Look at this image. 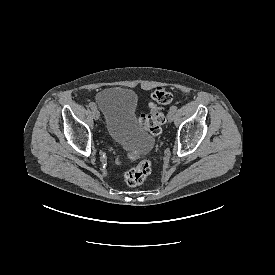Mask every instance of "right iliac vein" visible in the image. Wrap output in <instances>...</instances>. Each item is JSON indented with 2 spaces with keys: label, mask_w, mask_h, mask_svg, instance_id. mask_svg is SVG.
<instances>
[{
  "label": "right iliac vein",
  "mask_w": 275,
  "mask_h": 275,
  "mask_svg": "<svg viewBox=\"0 0 275 275\" xmlns=\"http://www.w3.org/2000/svg\"><path fill=\"white\" fill-rule=\"evenodd\" d=\"M92 116H93V118H94L95 120H98V119H99L100 113H99V111H98L96 108L92 109Z\"/></svg>",
  "instance_id": "1"
}]
</instances>
